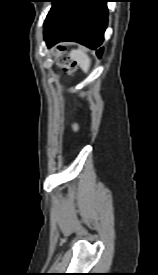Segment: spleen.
Returning a JSON list of instances; mask_svg holds the SVG:
<instances>
[{
  "mask_svg": "<svg viewBox=\"0 0 158 275\" xmlns=\"http://www.w3.org/2000/svg\"><path fill=\"white\" fill-rule=\"evenodd\" d=\"M70 57L77 62V64L85 73H88L91 66V59L83 50H71Z\"/></svg>",
  "mask_w": 158,
  "mask_h": 275,
  "instance_id": "1",
  "label": "spleen"
}]
</instances>
